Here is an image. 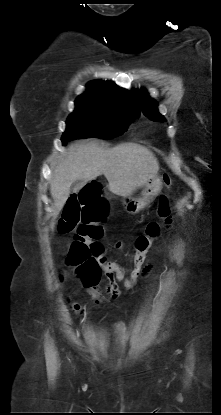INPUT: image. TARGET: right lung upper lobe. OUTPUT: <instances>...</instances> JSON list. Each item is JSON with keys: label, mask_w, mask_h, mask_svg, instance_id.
Here are the masks:
<instances>
[{"label": "right lung upper lobe", "mask_w": 221, "mask_h": 415, "mask_svg": "<svg viewBox=\"0 0 221 415\" xmlns=\"http://www.w3.org/2000/svg\"><path fill=\"white\" fill-rule=\"evenodd\" d=\"M76 103H87L104 107H118L138 112V106L129 91L108 81L95 80L87 84V91L76 99Z\"/></svg>", "instance_id": "cb5924a9"}]
</instances>
